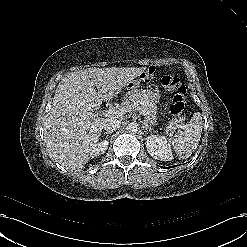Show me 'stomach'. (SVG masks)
Masks as SVG:
<instances>
[{"label":"stomach","mask_w":247,"mask_h":247,"mask_svg":"<svg viewBox=\"0 0 247 247\" xmlns=\"http://www.w3.org/2000/svg\"><path fill=\"white\" fill-rule=\"evenodd\" d=\"M140 85V80H131L126 84L128 91L127 96L133 97L135 95H141L143 98L147 99L149 102L157 103L161 98V90L158 87L151 88L148 90H138Z\"/></svg>","instance_id":"0dacf381"}]
</instances>
